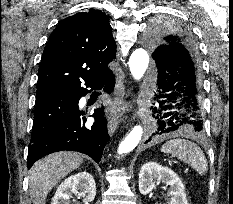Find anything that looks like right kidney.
<instances>
[{"mask_svg":"<svg viewBox=\"0 0 233 204\" xmlns=\"http://www.w3.org/2000/svg\"><path fill=\"white\" fill-rule=\"evenodd\" d=\"M72 193L83 197L85 204L92 202L96 196L93 176L85 171L69 176L58 186L51 204H69Z\"/></svg>","mask_w":233,"mask_h":204,"instance_id":"right-kidney-1","label":"right kidney"}]
</instances>
